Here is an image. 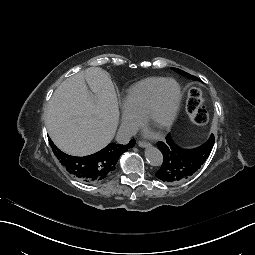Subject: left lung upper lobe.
I'll return each instance as SVG.
<instances>
[{
    "instance_id": "left-lung-upper-lobe-1",
    "label": "left lung upper lobe",
    "mask_w": 255,
    "mask_h": 255,
    "mask_svg": "<svg viewBox=\"0 0 255 255\" xmlns=\"http://www.w3.org/2000/svg\"><path fill=\"white\" fill-rule=\"evenodd\" d=\"M173 70L174 71H176V72H178L179 74H181V75H183V76H186L187 78H191V79H197L196 77H194V76H192V75H190V74H188V73H186V72H184V71H182V70H180V69H177V68H173ZM168 136H170V135H168ZM168 136L166 137V139L168 138ZM210 139H213L214 140V135L212 134L211 135V137L209 138V140ZM159 144H160V142H158V144H157V146H158V148H159ZM184 150V149H183ZM185 151V153H187V151H189V150H184ZM163 158L165 159V157H164V155H163ZM164 161V160H163ZM197 171V170H196ZM155 176L159 179V177H158V171L155 173ZM160 180V179H159ZM182 181H184V180H182ZM182 181H179V182H182ZM179 182H167V183H179Z\"/></svg>"
}]
</instances>
